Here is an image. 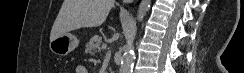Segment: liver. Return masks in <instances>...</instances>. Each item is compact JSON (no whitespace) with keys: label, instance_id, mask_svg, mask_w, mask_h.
Listing matches in <instances>:
<instances>
[{"label":"liver","instance_id":"6515ba94","mask_svg":"<svg viewBox=\"0 0 244 73\" xmlns=\"http://www.w3.org/2000/svg\"><path fill=\"white\" fill-rule=\"evenodd\" d=\"M114 0H64L50 33V41L80 28L98 27L106 20Z\"/></svg>","mask_w":244,"mask_h":73}]
</instances>
